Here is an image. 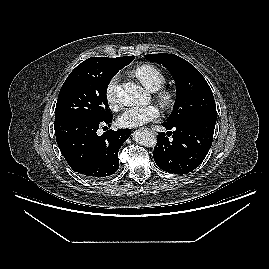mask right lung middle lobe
<instances>
[{
  "mask_svg": "<svg viewBox=\"0 0 269 269\" xmlns=\"http://www.w3.org/2000/svg\"><path fill=\"white\" fill-rule=\"evenodd\" d=\"M123 67L78 65L61 87L55 118L87 116L99 121L111 118L106 91L111 79Z\"/></svg>",
  "mask_w": 269,
  "mask_h": 269,
  "instance_id": "dd1d6c3e",
  "label": "right lung middle lobe"
}]
</instances>
